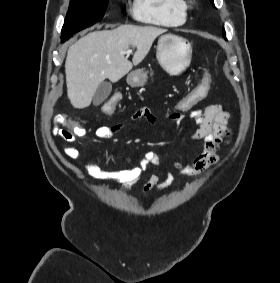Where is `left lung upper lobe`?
<instances>
[{
	"label": "left lung upper lobe",
	"instance_id": "1",
	"mask_svg": "<svg viewBox=\"0 0 280 283\" xmlns=\"http://www.w3.org/2000/svg\"><path fill=\"white\" fill-rule=\"evenodd\" d=\"M213 3V0H210ZM223 35H225V32L223 31Z\"/></svg>",
	"mask_w": 280,
	"mask_h": 283
}]
</instances>
